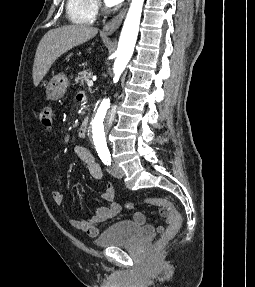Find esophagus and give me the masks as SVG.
I'll list each match as a JSON object with an SVG mask.
<instances>
[{
  "instance_id": "1",
  "label": "esophagus",
  "mask_w": 255,
  "mask_h": 287,
  "mask_svg": "<svg viewBox=\"0 0 255 287\" xmlns=\"http://www.w3.org/2000/svg\"><path fill=\"white\" fill-rule=\"evenodd\" d=\"M129 1L130 0H127V3ZM126 10L127 7H123L122 10L118 13V15H116V17L112 18V20H110L104 25L102 32L107 35H112L120 27L122 20L126 14Z\"/></svg>"
}]
</instances>
